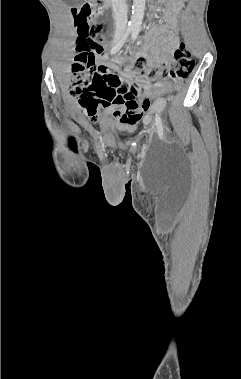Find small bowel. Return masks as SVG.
<instances>
[{"label":"small bowel","instance_id":"obj_1","mask_svg":"<svg viewBox=\"0 0 241 379\" xmlns=\"http://www.w3.org/2000/svg\"><path fill=\"white\" fill-rule=\"evenodd\" d=\"M170 6L167 9V25L162 26L159 30L152 35H149L146 40V47L151 48L153 57L150 66L158 60L168 62L171 60L173 51L179 45V35L176 30L177 15L183 0H169ZM124 76L130 80L132 87L135 89H128L127 94H118L115 99L110 103L109 110L118 122L126 129L132 130L143 119H149L150 116L146 115L147 110L151 108L150 96L158 93L148 88L147 83H142L138 86L136 82L132 81L133 74L130 71L125 72ZM126 83V81H124ZM162 100L156 102V106H160Z\"/></svg>","mask_w":241,"mask_h":379}]
</instances>
